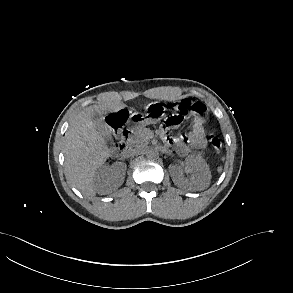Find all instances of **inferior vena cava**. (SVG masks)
<instances>
[{
	"label": "inferior vena cava",
	"mask_w": 293,
	"mask_h": 293,
	"mask_svg": "<svg viewBox=\"0 0 293 293\" xmlns=\"http://www.w3.org/2000/svg\"><path fill=\"white\" fill-rule=\"evenodd\" d=\"M139 152H140V149L138 147L129 148L123 152V156L126 158L133 157V156L139 154Z\"/></svg>",
	"instance_id": "1"
}]
</instances>
